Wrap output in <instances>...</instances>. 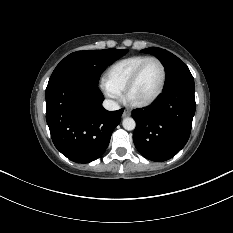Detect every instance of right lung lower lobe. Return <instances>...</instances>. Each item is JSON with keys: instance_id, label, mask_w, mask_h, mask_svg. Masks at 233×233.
<instances>
[{"instance_id": "right-lung-lower-lobe-1", "label": "right lung lower lobe", "mask_w": 233, "mask_h": 233, "mask_svg": "<svg viewBox=\"0 0 233 233\" xmlns=\"http://www.w3.org/2000/svg\"><path fill=\"white\" fill-rule=\"evenodd\" d=\"M97 85L60 79L46 88V120L55 147L68 159L89 163L106 150L123 110L107 111Z\"/></svg>"}]
</instances>
